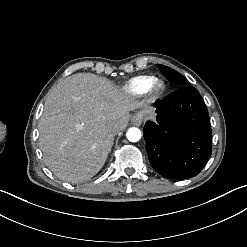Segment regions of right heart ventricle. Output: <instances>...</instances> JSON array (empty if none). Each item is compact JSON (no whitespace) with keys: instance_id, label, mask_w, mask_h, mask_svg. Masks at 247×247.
Returning <instances> with one entry per match:
<instances>
[{"instance_id":"1","label":"right heart ventricle","mask_w":247,"mask_h":247,"mask_svg":"<svg viewBox=\"0 0 247 247\" xmlns=\"http://www.w3.org/2000/svg\"><path fill=\"white\" fill-rule=\"evenodd\" d=\"M157 79L153 75L137 76L128 80L122 87V92L131 97H141L146 93L150 83Z\"/></svg>"}]
</instances>
